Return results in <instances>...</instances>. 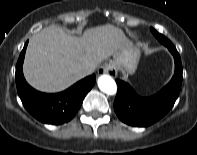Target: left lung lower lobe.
Segmentation results:
<instances>
[{
  "label": "left lung lower lobe",
  "instance_id": "obj_1",
  "mask_svg": "<svg viewBox=\"0 0 197 155\" xmlns=\"http://www.w3.org/2000/svg\"><path fill=\"white\" fill-rule=\"evenodd\" d=\"M175 60V73L170 82L151 97H140L132 87L116 80L118 91L114 109L119 119L131 126L147 127L165 116L178 98L182 83V64L175 46H166Z\"/></svg>",
  "mask_w": 197,
  "mask_h": 155
}]
</instances>
